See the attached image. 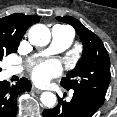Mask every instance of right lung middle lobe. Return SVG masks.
Returning a JSON list of instances; mask_svg holds the SVG:
<instances>
[{
  "label": "right lung middle lobe",
  "mask_w": 117,
  "mask_h": 117,
  "mask_svg": "<svg viewBox=\"0 0 117 117\" xmlns=\"http://www.w3.org/2000/svg\"><path fill=\"white\" fill-rule=\"evenodd\" d=\"M16 51H17V47L0 45V61L2 60L4 55L15 53ZM0 71H1V68H0Z\"/></svg>",
  "instance_id": "right-lung-middle-lobe-1"
}]
</instances>
